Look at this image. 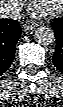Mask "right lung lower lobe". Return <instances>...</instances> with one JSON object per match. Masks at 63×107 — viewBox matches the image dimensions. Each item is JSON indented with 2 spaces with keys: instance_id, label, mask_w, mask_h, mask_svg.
<instances>
[{
  "instance_id": "right-lung-lower-lobe-1",
  "label": "right lung lower lobe",
  "mask_w": 63,
  "mask_h": 107,
  "mask_svg": "<svg viewBox=\"0 0 63 107\" xmlns=\"http://www.w3.org/2000/svg\"><path fill=\"white\" fill-rule=\"evenodd\" d=\"M21 35L19 23L11 19H0V76L11 66L16 43Z\"/></svg>"
}]
</instances>
